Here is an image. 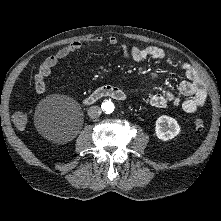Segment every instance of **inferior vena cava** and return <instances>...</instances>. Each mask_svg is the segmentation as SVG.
I'll list each match as a JSON object with an SVG mask.
<instances>
[{"label":"inferior vena cava","mask_w":221,"mask_h":221,"mask_svg":"<svg viewBox=\"0 0 221 221\" xmlns=\"http://www.w3.org/2000/svg\"><path fill=\"white\" fill-rule=\"evenodd\" d=\"M101 113H102V111H101V108L99 106H91L88 109V116L91 119H95V118L99 117L101 115Z\"/></svg>","instance_id":"602c4592"}]
</instances>
